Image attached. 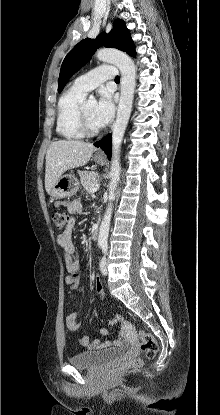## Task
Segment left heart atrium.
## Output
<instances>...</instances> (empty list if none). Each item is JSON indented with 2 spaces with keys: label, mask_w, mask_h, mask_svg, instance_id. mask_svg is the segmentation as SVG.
I'll return each mask as SVG.
<instances>
[{
  "label": "left heart atrium",
  "mask_w": 220,
  "mask_h": 415,
  "mask_svg": "<svg viewBox=\"0 0 220 415\" xmlns=\"http://www.w3.org/2000/svg\"><path fill=\"white\" fill-rule=\"evenodd\" d=\"M114 115V104L112 94L109 90L103 89L100 92L99 100L94 109V116L100 126L107 124Z\"/></svg>",
  "instance_id": "39dd6f15"
}]
</instances>
